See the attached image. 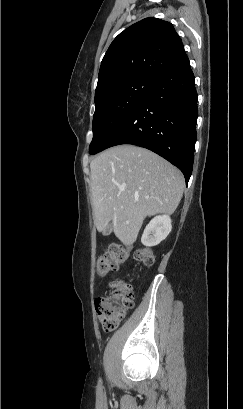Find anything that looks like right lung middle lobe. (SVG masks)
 Returning a JSON list of instances; mask_svg holds the SVG:
<instances>
[{"label": "right lung middle lobe", "mask_w": 243, "mask_h": 409, "mask_svg": "<svg viewBox=\"0 0 243 409\" xmlns=\"http://www.w3.org/2000/svg\"><path fill=\"white\" fill-rule=\"evenodd\" d=\"M156 82L150 78H133L114 85L95 100L90 154L104 150L110 136L131 115Z\"/></svg>", "instance_id": "dd1d6c3e"}]
</instances>
